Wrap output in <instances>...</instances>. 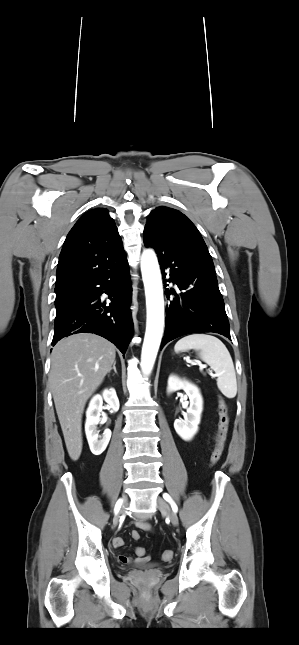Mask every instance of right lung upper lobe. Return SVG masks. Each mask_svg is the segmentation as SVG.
I'll use <instances>...</instances> for the list:
<instances>
[{
	"mask_svg": "<svg viewBox=\"0 0 299 645\" xmlns=\"http://www.w3.org/2000/svg\"><path fill=\"white\" fill-rule=\"evenodd\" d=\"M125 258L121 238L108 211L92 209L76 222L64 242L55 291L76 287L116 267Z\"/></svg>",
	"mask_w": 299,
	"mask_h": 645,
	"instance_id": "right-lung-upper-lobe-1",
	"label": "right lung upper lobe"
}]
</instances>
